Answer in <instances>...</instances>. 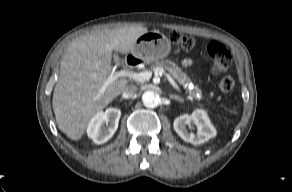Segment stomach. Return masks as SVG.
<instances>
[{
    "label": "stomach",
    "instance_id": "stomach-1",
    "mask_svg": "<svg viewBox=\"0 0 292 192\" xmlns=\"http://www.w3.org/2000/svg\"><path fill=\"white\" fill-rule=\"evenodd\" d=\"M171 49L168 38L159 31L147 32L140 36L131 49V53L146 63L165 58Z\"/></svg>",
    "mask_w": 292,
    "mask_h": 192
}]
</instances>
